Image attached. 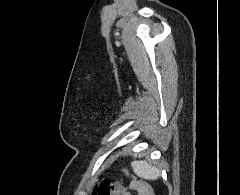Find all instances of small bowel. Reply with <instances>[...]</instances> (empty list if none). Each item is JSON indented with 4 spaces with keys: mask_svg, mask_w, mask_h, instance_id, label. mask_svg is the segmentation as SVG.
Masks as SVG:
<instances>
[{
    "mask_svg": "<svg viewBox=\"0 0 240 195\" xmlns=\"http://www.w3.org/2000/svg\"><path fill=\"white\" fill-rule=\"evenodd\" d=\"M125 188V193H122V195H133L136 193V195H151V193H148V188L150 186H128L124 187Z\"/></svg>",
    "mask_w": 240,
    "mask_h": 195,
    "instance_id": "1",
    "label": "small bowel"
}]
</instances>
